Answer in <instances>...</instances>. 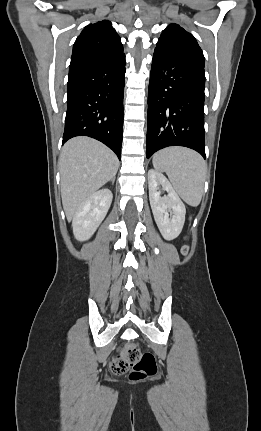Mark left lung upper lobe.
Returning a JSON list of instances; mask_svg holds the SVG:
<instances>
[{"mask_svg": "<svg viewBox=\"0 0 261 431\" xmlns=\"http://www.w3.org/2000/svg\"><path fill=\"white\" fill-rule=\"evenodd\" d=\"M155 49L191 60L204 67V55L196 39L177 24L166 27Z\"/></svg>", "mask_w": 261, "mask_h": 431, "instance_id": "left-lung-upper-lobe-1", "label": "left lung upper lobe"}]
</instances>
